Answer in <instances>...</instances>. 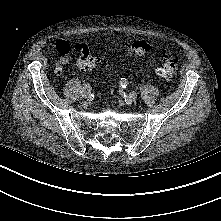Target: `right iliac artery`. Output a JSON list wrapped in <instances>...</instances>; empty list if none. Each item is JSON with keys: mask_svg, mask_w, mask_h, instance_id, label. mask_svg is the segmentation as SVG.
<instances>
[{"mask_svg": "<svg viewBox=\"0 0 221 221\" xmlns=\"http://www.w3.org/2000/svg\"><path fill=\"white\" fill-rule=\"evenodd\" d=\"M84 89H87L88 91H91V86H90V84H86V85L84 86Z\"/></svg>", "mask_w": 221, "mask_h": 221, "instance_id": "obj_1", "label": "right iliac artery"}]
</instances>
